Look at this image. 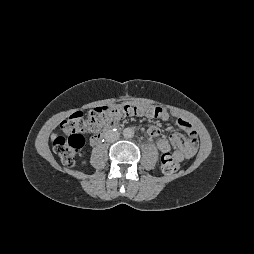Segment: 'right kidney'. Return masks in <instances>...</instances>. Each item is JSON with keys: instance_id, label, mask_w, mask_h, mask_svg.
Masks as SVG:
<instances>
[{"instance_id": "1", "label": "right kidney", "mask_w": 254, "mask_h": 254, "mask_svg": "<svg viewBox=\"0 0 254 254\" xmlns=\"http://www.w3.org/2000/svg\"><path fill=\"white\" fill-rule=\"evenodd\" d=\"M82 164L85 165V164H86V161H83Z\"/></svg>"}]
</instances>
